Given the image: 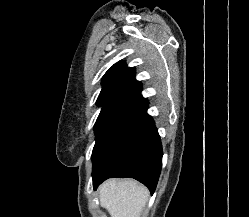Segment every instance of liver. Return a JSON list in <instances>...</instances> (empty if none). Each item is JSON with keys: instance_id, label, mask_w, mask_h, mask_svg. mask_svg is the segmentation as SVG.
Listing matches in <instances>:
<instances>
[{"instance_id": "liver-1", "label": "liver", "mask_w": 249, "mask_h": 217, "mask_svg": "<svg viewBox=\"0 0 249 217\" xmlns=\"http://www.w3.org/2000/svg\"><path fill=\"white\" fill-rule=\"evenodd\" d=\"M148 198V189L131 179H109L99 187L100 205L111 217H141Z\"/></svg>"}]
</instances>
